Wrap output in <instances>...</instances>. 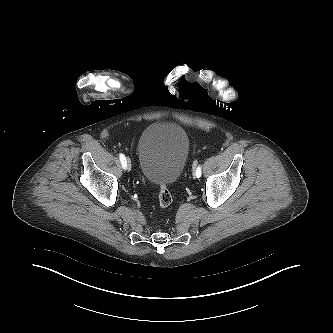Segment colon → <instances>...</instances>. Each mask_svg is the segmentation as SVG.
<instances>
[{"label":"colon","instance_id":"colon-1","mask_svg":"<svg viewBox=\"0 0 333 333\" xmlns=\"http://www.w3.org/2000/svg\"><path fill=\"white\" fill-rule=\"evenodd\" d=\"M158 201H159V206L162 209L168 208L172 203V195L168 187L164 184H161L159 186Z\"/></svg>","mask_w":333,"mask_h":333}]
</instances>
